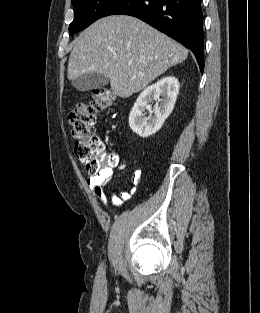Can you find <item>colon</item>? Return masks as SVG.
Segmentation results:
<instances>
[{
    "instance_id": "colon-1",
    "label": "colon",
    "mask_w": 260,
    "mask_h": 313,
    "mask_svg": "<svg viewBox=\"0 0 260 313\" xmlns=\"http://www.w3.org/2000/svg\"><path fill=\"white\" fill-rule=\"evenodd\" d=\"M114 102L113 91L94 88L89 92V99L79 103L70 113L71 134L76 139L75 155L85 163L87 171L94 175L114 164V156L107 155L94 128L97 114L109 109Z\"/></svg>"
}]
</instances>
